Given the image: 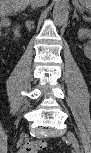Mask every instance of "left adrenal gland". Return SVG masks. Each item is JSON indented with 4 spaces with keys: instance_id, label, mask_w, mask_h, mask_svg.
<instances>
[{
    "instance_id": "1",
    "label": "left adrenal gland",
    "mask_w": 91,
    "mask_h": 153,
    "mask_svg": "<svg viewBox=\"0 0 91 153\" xmlns=\"http://www.w3.org/2000/svg\"><path fill=\"white\" fill-rule=\"evenodd\" d=\"M73 18H76L77 20L79 19V18H78V15H77V13H76V10H74Z\"/></svg>"
}]
</instances>
